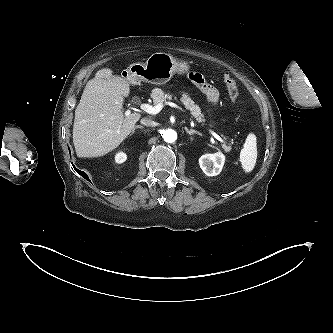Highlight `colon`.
I'll use <instances>...</instances> for the list:
<instances>
[{
  "label": "colon",
  "instance_id": "obj_1",
  "mask_svg": "<svg viewBox=\"0 0 333 333\" xmlns=\"http://www.w3.org/2000/svg\"><path fill=\"white\" fill-rule=\"evenodd\" d=\"M223 80H224V84L227 88L230 99L234 102L237 101L239 98V92H238L236 82L234 81V79H232L228 75L224 76Z\"/></svg>",
  "mask_w": 333,
  "mask_h": 333
}]
</instances>
